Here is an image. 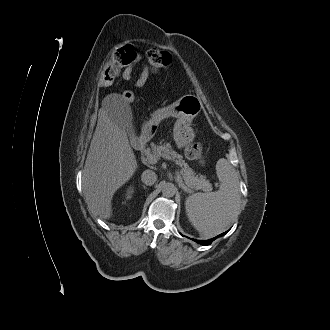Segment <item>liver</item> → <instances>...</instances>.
I'll return each instance as SVG.
<instances>
[{
	"label": "liver",
	"mask_w": 330,
	"mask_h": 330,
	"mask_svg": "<svg viewBox=\"0 0 330 330\" xmlns=\"http://www.w3.org/2000/svg\"><path fill=\"white\" fill-rule=\"evenodd\" d=\"M137 168L135 154L114 107L103 105L98 112L82 177L90 210L102 219L111 218L114 193L133 176Z\"/></svg>",
	"instance_id": "liver-1"
}]
</instances>
